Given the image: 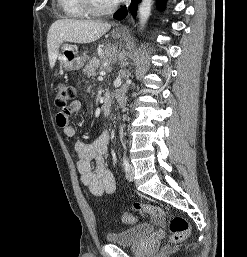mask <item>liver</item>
I'll return each instance as SVG.
<instances>
[{
	"label": "liver",
	"instance_id": "6515ba94",
	"mask_svg": "<svg viewBox=\"0 0 247 257\" xmlns=\"http://www.w3.org/2000/svg\"><path fill=\"white\" fill-rule=\"evenodd\" d=\"M111 28V24L100 21L60 19L55 21L47 35L50 67L53 68L63 42L86 44L98 40Z\"/></svg>",
	"mask_w": 247,
	"mask_h": 257
}]
</instances>
